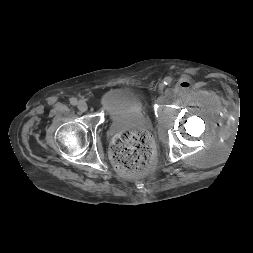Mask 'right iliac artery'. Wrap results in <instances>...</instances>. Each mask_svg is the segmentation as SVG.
<instances>
[{
    "mask_svg": "<svg viewBox=\"0 0 253 253\" xmlns=\"http://www.w3.org/2000/svg\"><path fill=\"white\" fill-rule=\"evenodd\" d=\"M70 103L72 104V105H77L78 104V101H77V99L76 98H71L70 99Z\"/></svg>",
    "mask_w": 253,
    "mask_h": 253,
    "instance_id": "1",
    "label": "right iliac artery"
}]
</instances>
